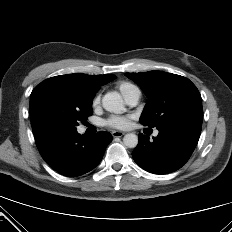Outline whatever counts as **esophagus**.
<instances>
[{
	"instance_id": "obj_1",
	"label": "esophagus",
	"mask_w": 232,
	"mask_h": 232,
	"mask_svg": "<svg viewBox=\"0 0 232 232\" xmlns=\"http://www.w3.org/2000/svg\"><path fill=\"white\" fill-rule=\"evenodd\" d=\"M124 135V132L121 131H112L113 137H122Z\"/></svg>"
}]
</instances>
